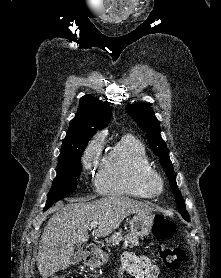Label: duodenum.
Returning a JSON list of instances; mask_svg holds the SVG:
<instances>
[{
    "instance_id": "obj_1",
    "label": "duodenum",
    "mask_w": 221,
    "mask_h": 278,
    "mask_svg": "<svg viewBox=\"0 0 221 278\" xmlns=\"http://www.w3.org/2000/svg\"><path fill=\"white\" fill-rule=\"evenodd\" d=\"M98 249L94 244H89L86 247V256L89 261L94 259L95 254L97 253Z\"/></svg>"
}]
</instances>
